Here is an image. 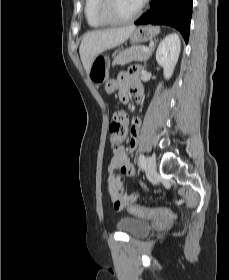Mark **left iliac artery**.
<instances>
[{
    "label": "left iliac artery",
    "mask_w": 229,
    "mask_h": 280,
    "mask_svg": "<svg viewBox=\"0 0 229 280\" xmlns=\"http://www.w3.org/2000/svg\"><path fill=\"white\" fill-rule=\"evenodd\" d=\"M139 165L142 169H144L146 167V158H145L144 154L139 155Z\"/></svg>",
    "instance_id": "44dca946"
}]
</instances>
